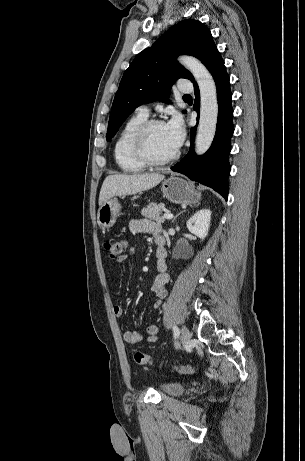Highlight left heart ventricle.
I'll return each mask as SVG.
<instances>
[{
    "instance_id": "obj_1",
    "label": "left heart ventricle",
    "mask_w": 305,
    "mask_h": 461,
    "mask_svg": "<svg viewBox=\"0 0 305 461\" xmlns=\"http://www.w3.org/2000/svg\"><path fill=\"white\" fill-rule=\"evenodd\" d=\"M149 155L157 160L167 158L174 154L177 149L171 144L165 125L155 126L149 133L147 141Z\"/></svg>"
}]
</instances>
